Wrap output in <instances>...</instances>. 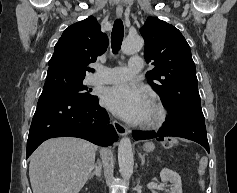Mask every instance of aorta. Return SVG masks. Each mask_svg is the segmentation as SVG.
Wrapping results in <instances>:
<instances>
[{
  "mask_svg": "<svg viewBox=\"0 0 237 193\" xmlns=\"http://www.w3.org/2000/svg\"><path fill=\"white\" fill-rule=\"evenodd\" d=\"M143 47V39L139 35H128L122 44V52L130 55ZM118 162L123 179L128 180L133 174L134 158L130 138L123 137L118 146Z\"/></svg>",
  "mask_w": 237,
  "mask_h": 193,
  "instance_id": "1",
  "label": "aorta"
}]
</instances>
